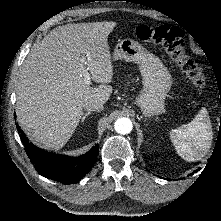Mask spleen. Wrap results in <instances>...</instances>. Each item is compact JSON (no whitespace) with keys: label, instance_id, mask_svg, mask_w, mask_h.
Returning a JSON list of instances; mask_svg holds the SVG:
<instances>
[{"label":"spleen","instance_id":"spleen-1","mask_svg":"<svg viewBox=\"0 0 221 221\" xmlns=\"http://www.w3.org/2000/svg\"><path fill=\"white\" fill-rule=\"evenodd\" d=\"M212 126L206 108H202L195 118L174 131L170 139L180 157L189 162L201 160L212 144Z\"/></svg>","mask_w":221,"mask_h":221}]
</instances>
